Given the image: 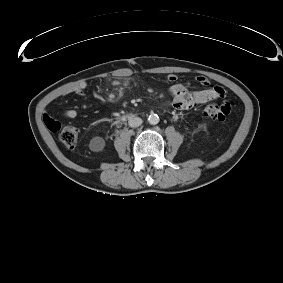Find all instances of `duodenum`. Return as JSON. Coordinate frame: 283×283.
<instances>
[{
    "instance_id": "1",
    "label": "duodenum",
    "mask_w": 283,
    "mask_h": 283,
    "mask_svg": "<svg viewBox=\"0 0 283 283\" xmlns=\"http://www.w3.org/2000/svg\"><path fill=\"white\" fill-rule=\"evenodd\" d=\"M132 117H134V115H130V116H129V118H132Z\"/></svg>"
}]
</instances>
